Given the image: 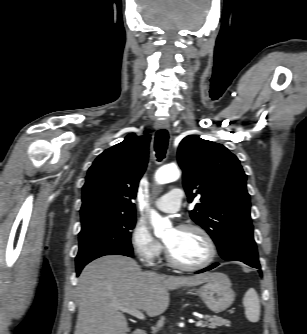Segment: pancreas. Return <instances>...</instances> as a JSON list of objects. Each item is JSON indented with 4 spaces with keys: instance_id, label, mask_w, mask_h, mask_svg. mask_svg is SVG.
<instances>
[{
    "instance_id": "cf45deb5",
    "label": "pancreas",
    "mask_w": 307,
    "mask_h": 334,
    "mask_svg": "<svg viewBox=\"0 0 307 334\" xmlns=\"http://www.w3.org/2000/svg\"><path fill=\"white\" fill-rule=\"evenodd\" d=\"M207 319V322L204 324V326H207L208 328H216L218 326H227L229 327L231 322L227 319H223L222 317L218 316H209L207 315L205 317Z\"/></svg>"
}]
</instances>
